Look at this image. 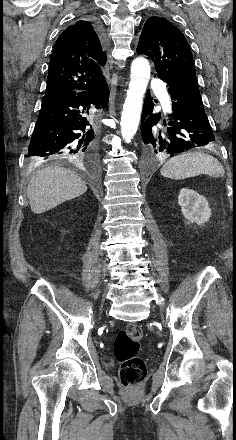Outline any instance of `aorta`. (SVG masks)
<instances>
[{
    "label": "aorta",
    "instance_id": "obj_1",
    "mask_svg": "<svg viewBox=\"0 0 236 440\" xmlns=\"http://www.w3.org/2000/svg\"><path fill=\"white\" fill-rule=\"evenodd\" d=\"M150 79V64L144 57H137L131 64L127 96L121 115V135L129 143L137 132L144 94Z\"/></svg>",
    "mask_w": 236,
    "mask_h": 440
}]
</instances>
